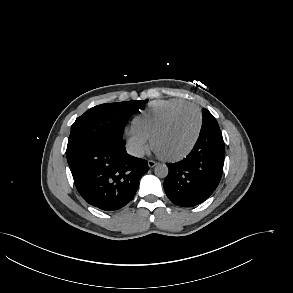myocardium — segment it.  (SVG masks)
Returning a JSON list of instances; mask_svg holds the SVG:
<instances>
[{
  "instance_id": "f54148a6",
  "label": "myocardium",
  "mask_w": 293,
  "mask_h": 293,
  "mask_svg": "<svg viewBox=\"0 0 293 293\" xmlns=\"http://www.w3.org/2000/svg\"><path fill=\"white\" fill-rule=\"evenodd\" d=\"M187 109H193L196 111L197 115H198V127H197V131L196 134L191 142V144L180 154L174 155V156H167V155H163L161 153H159L158 151V155L169 162H176V161H180L184 158H186L195 148L200 135H201V131H202V127H203V114L201 109L195 105V104H187V105H183L181 107H178L177 109H175L174 111H172L166 118L165 120L160 124V126L154 131V133L151 136V144L153 146V148H155V142L157 140V138L169 127V125L172 123V121L174 120V118L180 114L181 112L187 110Z\"/></svg>"
}]
</instances>
